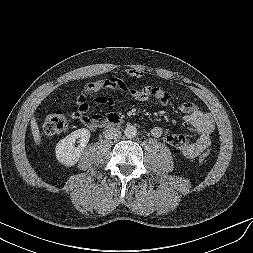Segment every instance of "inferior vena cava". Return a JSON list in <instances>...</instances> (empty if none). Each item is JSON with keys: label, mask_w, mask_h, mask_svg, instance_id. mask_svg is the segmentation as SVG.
<instances>
[{"label": "inferior vena cava", "mask_w": 253, "mask_h": 253, "mask_svg": "<svg viewBox=\"0 0 253 253\" xmlns=\"http://www.w3.org/2000/svg\"><path fill=\"white\" fill-rule=\"evenodd\" d=\"M104 137L107 140H117L121 138L122 134L121 131L117 128H107L104 132Z\"/></svg>", "instance_id": "602c4592"}]
</instances>
